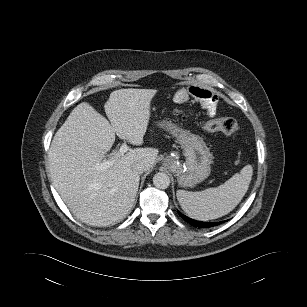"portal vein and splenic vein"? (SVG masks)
<instances>
[{"label": "portal vein and splenic vein", "instance_id": "18ae733b", "mask_svg": "<svg viewBox=\"0 0 307 307\" xmlns=\"http://www.w3.org/2000/svg\"><path fill=\"white\" fill-rule=\"evenodd\" d=\"M128 150H129L128 145H127L126 143H123V144L120 146L119 153L123 155V154L126 153ZM113 164H114V160H112V159L104 160L102 163H100V164L97 166V170L104 171V170L108 169L109 167H111Z\"/></svg>", "mask_w": 307, "mask_h": 307}]
</instances>
